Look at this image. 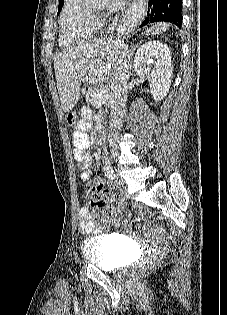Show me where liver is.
Returning a JSON list of instances; mask_svg holds the SVG:
<instances>
[{"mask_svg": "<svg viewBox=\"0 0 227 315\" xmlns=\"http://www.w3.org/2000/svg\"><path fill=\"white\" fill-rule=\"evenodd\" d=\"M170 26L169 23L153 24L146 30V35L166 32ZM125 47L128 52V47L120 39H97L62 51L53 58L57 89L64 112L71 111L78 103L81 82L86 73L111 75ZM126 58L131 67V59Z\"/></svg>", "mask_w": 227, "mask_h": 315, "instance_id": "liver-1", "label": "liver"}]
</instances>
